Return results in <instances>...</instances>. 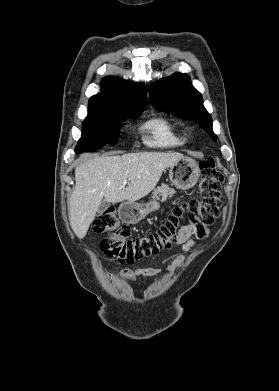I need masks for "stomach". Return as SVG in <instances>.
Returning <instances> with one entry per match:
<instances>
[{"label":"stomach","instance_id":"stomach-1","mask_svg":"<svg viewBox=\"0 0 279 391\" xmlns=\"http://www.w3.org/2000/svg\"><path fill=\"white\" fill-rule=\"evenodd\" d=\"M200 176L198 163L189 157H184L170 166L169 178L172 184L181 190L192 188L197 183ZM157 201L148 203L125 202L119 207L120 218L129 224H136L143 220L150 212L159 209Z\"/></svg>","mask_w":279,"mask_h":391}]
</instances>
